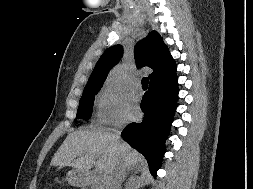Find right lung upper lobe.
Returning <instances> with one entry per match:
<instances>
[{
    "mask_svg": "<svg viewBox=\"0 0 253 189\" xmlns=\"http://www.w3.org/2000/svg\"><path fill=\"white\" fill-rule=\"evenodd\" d=\"M123 48L115 45L108 48L98 60L87 85L86 90L100 89L108 72L119 62ZM134 56L137 67L148 66L153 69L149 75L150 82L167 77L176 72V63L164 44L161 36L152 31L148 37L139 41L134 48Z\"/></svg>",
    "mask_w": 253,
    "mask_h": 189,
    "instance_id": "obj_1",
    "label": "right lung upper lobe"
}]
</instances>
